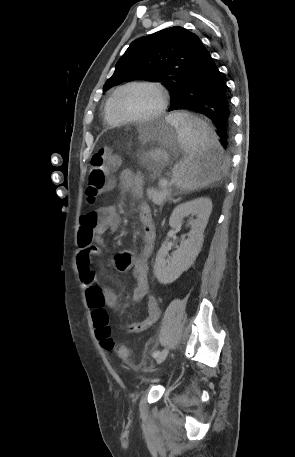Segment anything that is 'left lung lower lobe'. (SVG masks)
<instances>
[{"label":"left lung lower lobe","instance_id":"obj_1","mask_svg":"<svg viewBox=\"0 0 295 457\" xmlns=\"http://www.w3.org/2000/svg\"><path fill=\"white\" fill-rule=\"evenodd\" d=\"M189 109L207 116L224 149L231 142V116L226 85L209 51L200 47L186 71V81L169 111Z\"/></svg>","mask_w":295,"mask_h":457}]
</instances>
